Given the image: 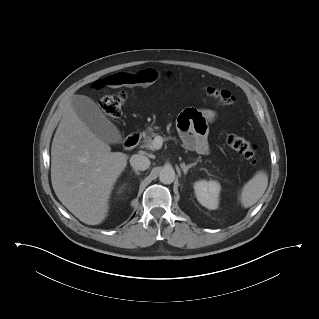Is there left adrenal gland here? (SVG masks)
Returning <instances> with one entry per match:
<instances>
[{"label":"left adrenal gland","mask_w":319,"mask_h":319,"mask_svg":"<svg viewBox=\"0 0 319 319\" xmlns=\"http://www.w3.org/2000/svg\"><path fill=\"white\" fill-rule=\"evenodd\" d=\"M195 165H196V163H192V164H189V165H185V163H182V164H180V167H181L183 173L186 175L187 172H188V170H189L191 167L195 166Z\"/></svg>","instance_id":"left-adrenal-gland-1"}]
</instances>
